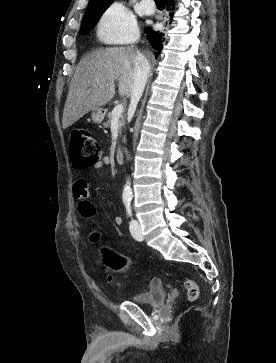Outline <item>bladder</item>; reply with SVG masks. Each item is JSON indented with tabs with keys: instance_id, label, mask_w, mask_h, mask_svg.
<instances>
[{
	"instance_id": "bladder-1",
	"label": "bladder",
	"mask_w": 276,
	"mask_h": 363,
	"mask_svg": "<svg viewBox=\"0 0 276 363\" xmlns=\"http://www.w3.org/2000/svg\"><path fill=\"white\" fill-rule=\"evenodd\" d=\"M167 290L164 286L150 284L145 290L134 296L130 301L148 307H157L165 302Z\"/></svg>"
}]
</instances>
